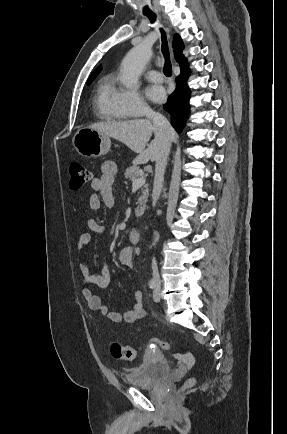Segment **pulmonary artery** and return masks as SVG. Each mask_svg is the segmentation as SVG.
Masks as SVG:
<instances>
[{
    "mask_svg": "<svg viewBox=\"0 0 287 434\" xmlns=\"http://www.w3.org/2000/svg\"><path fill=\"white\" fill-rule=\"evenodd\" d=\"M146 78L154 82H161L163 80L162 74L156 70L147 71Z\"/></svg>",
    "mask_w": 287,
    "mask_h": 434,
    "instance_id": "obj_1",
    "label": "pulmonary artery"
}]
</instances>
